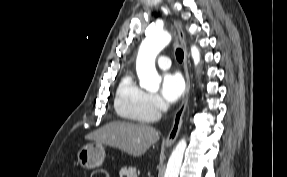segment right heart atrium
Returning a JSON list of instances; mask_svg holds the SVG:
<instances>
[{
  "mask_svg": "<svg viewBox=\"0 0 287 177\" xmlns=\"http://www.w3.org/2000/svg\"><path fill=\"white\" fill-rule=\"evenodd\" d=\"M148 104L153 115L158 116L162 112L163 104L157 95L150 94Z\"/></svg>",
  "mask_w": 287,
  "mask_h": 177,
  "instance_id": "d8ad5b80",
  "label": "right heart atrium"
}]
</instances>
